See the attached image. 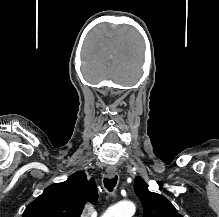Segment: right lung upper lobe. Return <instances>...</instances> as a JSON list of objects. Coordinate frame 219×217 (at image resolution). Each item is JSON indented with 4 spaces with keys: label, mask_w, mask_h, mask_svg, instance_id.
<instances>
[{
    "label": "right lung upper lobe",
    "mask_w": 219,
    "mask_h": 217,
    "mask_svg": "<svg viewBox=\"0 0 219 217\" xmlns=\"http://www.w3.org/2000/svg\"><path fill=\"white\" fill-rule=\"evenodd\" d=\"M97 187L85 173L76 172L65 182L47 187L25 209L22 217H80L87 201L96 203Z\"/></svg>",
    "instance_id": "obj_1"
}]
</instances>
